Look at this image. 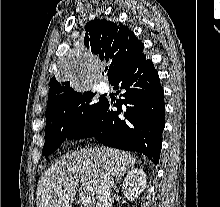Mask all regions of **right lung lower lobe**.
Here are the masks:
<instances>
[{
    "label": "right lung lower lobe",
    "instance_id": "right-lung-lower-lobe-1",
    "mask_svg": "<svg viewBox=\"0 0 220 207\" xmlns=\"http://www.w3.org/2000/svg\"><path fill=\"white\" fill-rule=\"evenodd\" d=\"M110 83L115 87L121 85L118 92L123 98L114 104L117 111H112V103L104 99L94 116L70 139L94 137L109 147L143 153L157 164L165 126V103L152 61L141 52Z\"/></svg>",
    "mask_w": 220,
    "mask_h": 207
}]
</instances>
